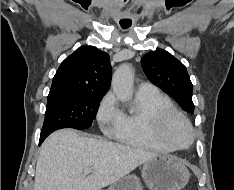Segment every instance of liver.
<instances>
[{
	"mask_svg": "<svg viewBox=\"0 0 234 190\" xmlns=\"http://www.w3.org/2000/svg\"><path fill=\"white\" fill-rule=\"evenodd\" d=\"M156 156L144 149L62 129L41 146L34 190H101ZM88 168L91 174L85 176L83 172Z\"/></svg>",
	"mask_w": 234,
	"mask_h": 190,
	"instance_id": "liver-1",
	"label": "liver"
}]
</instances>
